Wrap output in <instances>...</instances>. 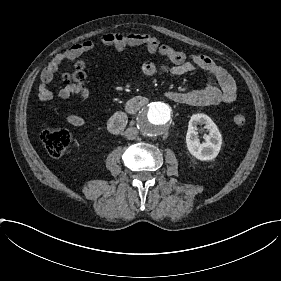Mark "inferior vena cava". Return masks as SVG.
Returning a JSON list of instances; mask_svg holds the SVG:
<instances>
[{
	"instance_id": "602c4592",
	"label": "inferior vena cava",
	"mask_w": 281,
	"mask_h": 281,
	"mask_svg": "<svg viewBox=\"0 0 281 281\" xmlns=\"http://www.w3.org/2000/svg\"><path fill=\"white\" fill-rule=\"evenodd\" d=\"M137 134H138V129L136 127H130L125 131V136L129 140L135 139Z\"/></svg>"
}]
</instances>
